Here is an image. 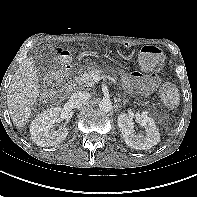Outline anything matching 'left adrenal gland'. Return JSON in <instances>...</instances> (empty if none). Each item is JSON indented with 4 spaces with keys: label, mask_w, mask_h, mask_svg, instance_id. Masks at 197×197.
Returning a JSON list of instances; mask_svg holds the SVG:
<instances>
[{
    "label": "left adrenal gland",
    "mask_w": 197,
    "mask_h": 197,
    "mask_svg": "<svg viewBox=\"0 0 197 197\" xmlns=\"http://www.w3.org/2000/svg\"><path fill=\"white\" fill-rule=\"evenodd\" d=\"M119 101H120V99H119ZM122 102H123V105H125L128 102V100H123Z\"/></svg>",
    "instance_id": "a2214340"
}]
</instances>
